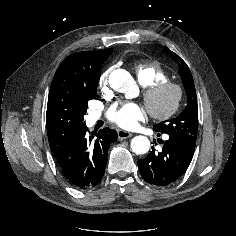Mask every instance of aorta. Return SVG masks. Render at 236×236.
I'll list each match as a JSON object with an SVG mask.
<instances>
[{
	"instance_id": "obj_1",
	"label": "aorta",
	"mask_w": 236,
	"mask_h": 236,
	"mask_svg": "<svg viewBox=\"0 0 236 236\" xmlns=\"http://www.w3.org/2000/svg\"><path fill=\"white\" fill-rule=\"evenodd\" d=\"M111 87L130 99L138 93V86L130 73L126 70L120 69L114 71L110 76ZM132 151L137 155L145 154L150 149V141L146 136H135L130 143Z\"/></svg>"
}]
</instances>
